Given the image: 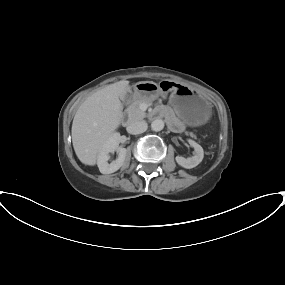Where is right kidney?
<instances>
[{
    "instance_id": "ca27d5eb",
    "label": "right kidney",
    "mask_w": 285,
    "mask_h": 285,
    "mask_svg": "<svg viewBox=\"0 0 285 285\" xmlns=\"http://www.w3.org/2000/svg\"><path fill=\"white\" fill-rule=\"evenodd\" d=\"M120 134L114 133L109 141L101 148L97 156V165L102 174H111L116 172L125 162L127 156L126 148L119 147ZM117 152L118 157L110 164L109 153Z\"/></svg>"
}]
</instances>
